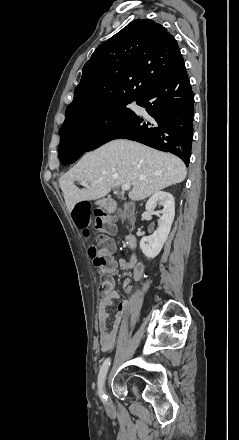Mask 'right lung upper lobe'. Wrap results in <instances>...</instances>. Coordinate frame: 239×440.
Instances as JSON below:
<instances>
[{
    "label": "right lung upper lobe",
    "instance_id": "right-lung-upper-lobe-1",
    "mask_svg": "<svg viewBox=\"0 0 239 440\" xmlns=\"http://www.w3.org/2000/svg\"><path fill=\"white\" fill-rule=\"evenodd\" d=\"M182 60L174 37L160 24L137 19L100 45L86 62L65 120L117 97H140Z\"/></svg>",
    "mask_w": 239,
    "mask_h": 440
}]
</instances>
